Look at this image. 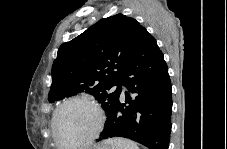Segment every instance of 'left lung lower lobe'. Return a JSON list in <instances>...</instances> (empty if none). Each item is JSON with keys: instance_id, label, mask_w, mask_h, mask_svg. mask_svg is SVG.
<instances>
[{"instance_id": "obj_1", "label": "left lung lower lobe", "mask_w": 227, "mask_h": 149, "mask_svg": "<svg viewBox=\"0 0 227 149\" xmlns=\"http://www.w3.org/2000/svg\"><path fill=\"white\" fill-rule=\"evenodd\" d=\"M121 83L134 97L126 92L125 102L121 103L119 95L97 141L124 137L149 149H168L172 86L163 54L144 27L139 32Z\"/></svg>"}]
</instances>
